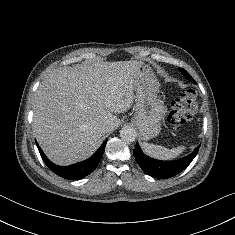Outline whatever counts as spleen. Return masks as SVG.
I'll return each instance as SVG.
<instances>
[{
	"label": "spleen",
	"mask_w": 235,
	"mask_h": 235,
	"mask_svg": "<svg viewBox=\"0 0 235 235\" xmlns=\"http://www.w3.org/2000/svg\"><path fill=\"white\" fill-rule=\"evenodd\" d=\"M142 146L148 155L158 159H173L179 156L186 148L185 146H178L177 148L168 149L163 146L149 144L146 142L143 143Z\"/></svg>",
	"instance_id": "1"
}]
</instances>
